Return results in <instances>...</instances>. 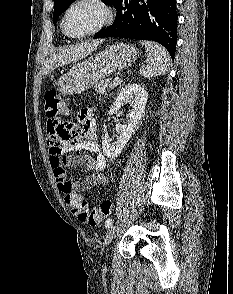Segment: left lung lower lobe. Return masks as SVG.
<instances>
[{
    "instance_id": "left-lung-lower-lobe-1",
    "label": "left lung lower lobe",
    "mask_w": 233,
    "mask_h": 294,
    "mask_svg": "<svg viewBox=\"0 0 233 294\" xmlns=\"http://www.w3.org/2000/svg\"><path fill=\"white\" fill-rule=\"evenodd\" d=\"M113 24L94 38L120 37L152 40L175 56L177 12L175 0H119Z\"/></svg>"
}]
</instances>
